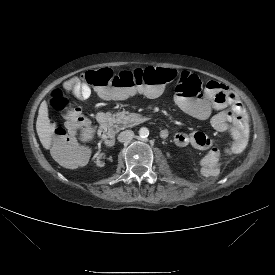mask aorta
Returning <instances> with one entry per match:
<instances>
[{
	"instance_id": "aorta-1",
	"label": "aorta",
	"mask_w": 275,
	"mask_h": 275,
	"mask_svg": "<svg viewBox=\"0 0 275 275\" xmlns=\"http://www.w3.org/2000/svg\"><path fill=\"white\" fill-rule=\"evenodd\" d=\"M139 135L141 137H147L149 135V130L146 127H142L139 130Z\"/></svg>"
}]
</instances>
